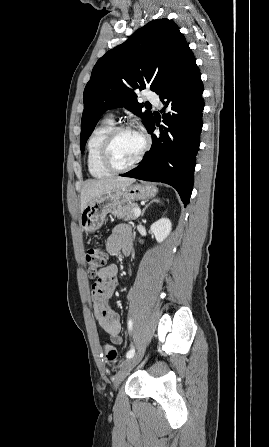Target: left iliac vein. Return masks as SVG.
<instances>
[{
  "label": "left iliac vein",
  "instance_id": "left-iliac-vein-1",
  "mask_svg": "<svg viewBox=\"0 0 269 447\" xmlns=\"http://www.w3.org/2000/svg\"><path fill=\"white\" fill-rule=\"evenodd\" d=\"M143 355V348L140 349L138 353H136L133 357L128 358L127 360L120 363V371L119 374L114 376V386L117 387L120 382L126 377L130 370L136 366L141 360Z\"/></svg>",
  "mask_w": 269,
  "mask_h": 447
}]
</instances>
